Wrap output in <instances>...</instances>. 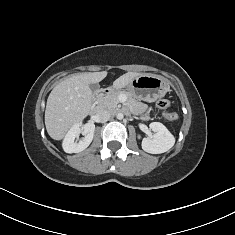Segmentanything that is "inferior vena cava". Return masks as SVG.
Wrapping results in <instances>:
<instances>
[{
  "label": "inferior vena cava",
  "instance_id": "602c4592",
  "mask_svg": "<svg viewBox=\"0 0 235 235\" xmlns=\"http://www.w3.org/2000/svg\"><path fill=\"white\" fill-rule=\"evenodd\" d=\"M111 114L107 109H100L97 112V118L100 122H106L110 119Z\"/></svg>",
  "mask_w": 235,
  "mask_h": 235
}]
</instances>
